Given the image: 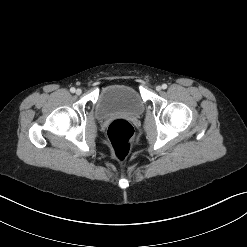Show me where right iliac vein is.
Wrapping results in <instances>:
<instances>
[{
	"label": "right iliac vein",
	"instance_id": "63e3f726",
	"mask_svg": "<svg viewBox=\"0 0 247 247\" xmlns=\"http://www.w3.org/2000/svg\"><path fill=\"white\" fill-rule=\"evenodd\" d=\"M81 93H82V90H81V89H77V90H76V94H77V95H80Z\"/></svg>",
	"mask_w": 247,
	"mask_h": 247
}]
</instances>
